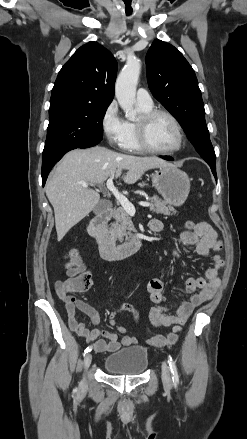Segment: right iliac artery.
<instances>
[{"label":"right iliac artery","instance_id":"82829eb1","mask_svg":"<svg viewBox=\"0 0 247 439\" xmlns=\"http://www.w3.org/2000/svg\"><path fill=\"white\" fill-rule=\"evenodd\" d=\"M91 350H92V346H88V347L85 349L84 354L90 352ZM75 391H77V389H76Z\"/></svg>","mask_w":247,"mask_h":439}]
</instances>
